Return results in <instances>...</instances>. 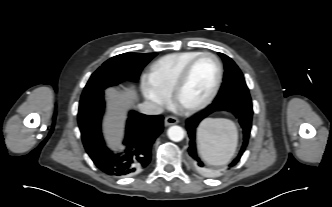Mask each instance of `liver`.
<instances>
[{"label": "liver", "mask_w": 332, "mask_h": 207, "mask_svg": "<svg viewBox=\"0 0 332 207\" xmlns=\"http://www.w3.org/2000/svg\"><path fill=\"white\" fill-rule=\"evenodd\" d=\"M109 103L110 115L104 122V132L109 146L113 149L121 147L120 139L123 131L125 114L123 108L134 103L137 99V92L133 87H125L123 90L109 88L106 91Z\"/></svg>", "instance_id": "6515ba94"}]
</instances>
